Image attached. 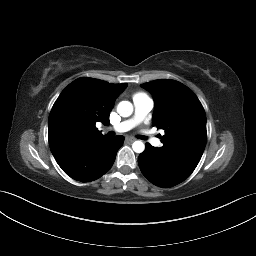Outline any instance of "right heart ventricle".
Listing matches in <instances>:
<instances>
[{"label": "right heart ventricle", "instance_id": "right-heart-ventricle-1", "mask_svg": "<svg viewBox=\"0 0 256 256\" xmlns=\"http://www.w3.org/2000/svg\"><path fill=\"white\" fill-rule=\"evenodd\" d=\"M136 97H146V96L142 93H137V94L134 95L133 99L136 98Z\"/></svg>", "mask_w": 256, "mask_h": 256}]
</instances>
